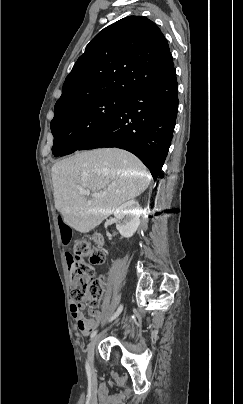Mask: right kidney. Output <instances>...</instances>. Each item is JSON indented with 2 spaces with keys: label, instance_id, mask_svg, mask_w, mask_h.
Returning a JSON list of instances; mask_svg holds the SVG:
<instances>
[{
  "label": "right kidney",
  "instance_id": "obj_1",
  "mask_svg": "<svg viewBox=\"0 0 243 404\" xmlns=\"http://www.w3.org/2000/svg\"><path fill=\"white\" fill-rule=\"evenodd\" d=\"M141 214L142 208H140L138 202H133V200L126 202V204L119 206L115 210L116 228L123 238H131L135 234L140 224Z\"/></svg>",
  "mask_w": 243,
  "mask_h": 404
}]
</instances>
